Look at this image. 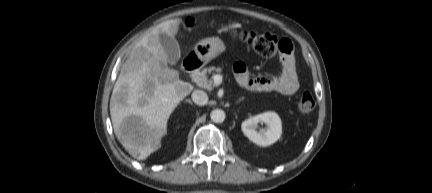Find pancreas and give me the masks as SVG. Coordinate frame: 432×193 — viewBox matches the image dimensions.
<instances>
[{
  "label": "pancreas",
  "mask_w": 432,
  "mask_h": 193,
  "mask_svg": "<svg viewBox=\"0 0 432 193\" xmlns=\"http://www.w3.org/2000/svg\"><path fill=\"white\" fill-rule=\"evenodd\" d=\"M221 72V68H216L215 66H211L208 68H204L202 71L197 72L193 75V81L201 88L212 90V79L208 77V74H218Z\"/></svg>",
  "instance_id": "obj_1"
}]
</instances>
